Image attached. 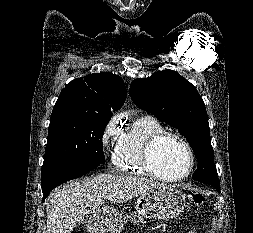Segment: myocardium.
I'll return each mask as SVG.
<instances>
[{
    "label": "myocardium",
    "mask_w": 253,
    "mask_h": 233,
    "mask_svg": "<svg viewBox=\"0 0 253 233\" xmlns=\"http://www.w3.org/2000/svg\"><path fill=\"white\" fill-rule=\"evenodd\" d=\"M174 141L182 145L188 152L190 164L185 174L177 177L163 176L157 172L153 165V155L156 148L165 141ZM142 163L147 172L154 178L165 182H179L188 178L194 170L195 153L192 146L182 137L171 132H163L152 136L145 144L142 154Z\"/></svg>",
    "instance_id": "1"
}]
</instances>
